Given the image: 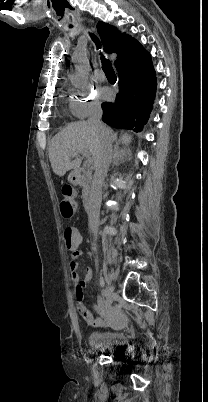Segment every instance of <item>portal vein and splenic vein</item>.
<instances>
[{
  "label": "portal vein and splenic vein",
  "mask_w": 208,
  "mask_h": 402,
  "mask_svg": "<svg viewBox=\"0 0 208 402\" xmlns=\"http://www.w3.org/2000/svg\"><path fill=\"white\" fill-rule=\"evenodd\" d=\"M82 154L85 156V158H87L85 162L86 166H91V164H93V160L90 158L89 152H82ZM72 156L78 157V154H72ZM76 162H79V158H77Z\"/></svg>",
  "instance_id": "obj_1"
}]
</instances>
